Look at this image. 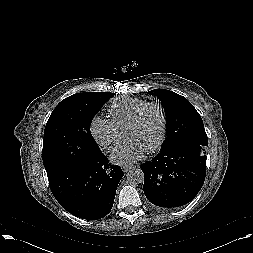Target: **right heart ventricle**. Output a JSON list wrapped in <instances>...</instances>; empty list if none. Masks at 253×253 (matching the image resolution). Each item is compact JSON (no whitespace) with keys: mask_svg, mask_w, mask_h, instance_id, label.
<instances>
[{"mask_svg":"<svg viewBox=\"0 0 253 253\" xmlns=\"http://www.w3.org/2000/svg\"><path fill=\"white\" fill-rule=\"evenodd\" d=\"M146 102L141 98L128 96L114 99L108 106L111 121L120 131L124 130L135 112Z\"/></svg>","mask_w":253,"mask_h":253,"instance_id":"1","label":"right heart ventricle"}]
</instances>
